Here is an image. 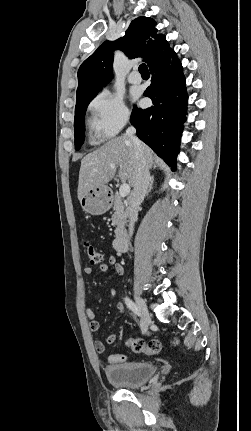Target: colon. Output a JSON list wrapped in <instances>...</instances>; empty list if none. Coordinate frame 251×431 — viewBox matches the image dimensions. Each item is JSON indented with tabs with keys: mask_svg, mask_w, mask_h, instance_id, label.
Here are the masks:
<instances>
[{
	"mask_svg": "<svg viewBox=\"0 0 251 431\" xmlns=\"http://www.w3.org/2000/svg\"><path fill=\"white\" fill-rule=\"evenodd\" d=\"M86 256L91 264L98 265L103 261V257L99 251H97L88 241L83 243ZM179 341L174 340V344L177 345ZM127 346L136 353H144L147 355L158 354L162 350V344L159 340L151 339L144 341L142 339L131 338L127 341ZM107 362H111L112 365L122 366L127 360L125 353H107Z\"/></svg>",
	"mask_w": 251,
	"mask_h": 431,
	"instance_id": "obj_1",
	"label": "colon"
}]
</instances>
